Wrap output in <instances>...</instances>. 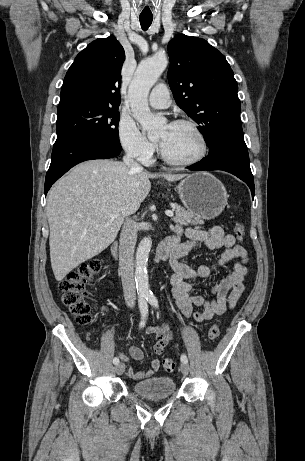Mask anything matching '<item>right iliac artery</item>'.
Returning <instances> with one entry per match:
<instances>
[{"label":"right iliac artery","mask_w":305,"mask_h":461,"mask_svg":"<svg viewBox=\"0 0 305 461\" xmlns=\"http://www.w3.org/2000/svg\"><path fill=\"white\" fill-rule=\"evenodd\" d=\"M138 304H139V308H140V312H141V322H140V327H144L145 325V322H146V319L148 317V305H147V298L142 296V297H139V300H138ZM113 363L115 365H117L119 363V358L118 357H114L113 359Z\"/></svg>","instance_id":"right-iliac-artery-1"}]
</instances>
